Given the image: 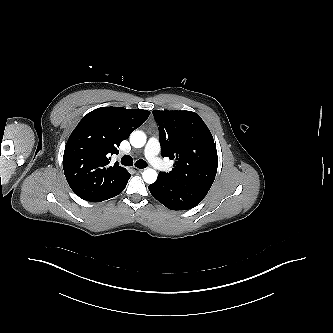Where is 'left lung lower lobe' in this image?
<instances>
[{
  "label": "left lung lower lobe",
  "instance_id": "obj_1",
  "mask_svg": "<svg viewBox=\"0 0 333 333\" xmlns=\"http://www.w3.org/2000/svg\"><path fill=\"white\" fill-rule=\"evenodd\" d=\"M153 197L171 210H188L198 205L209 190L175 183L165 174H159L149 185Z\"/></svg>",
  "mask_w": 333,
  "mask_h": 333
}]
</instances>
